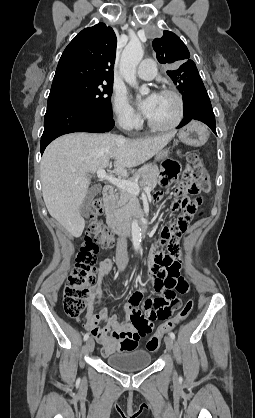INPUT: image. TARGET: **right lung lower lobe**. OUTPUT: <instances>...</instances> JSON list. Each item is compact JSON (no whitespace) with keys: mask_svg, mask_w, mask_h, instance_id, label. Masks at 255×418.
Returning a JSON list of instances; mask_svg holds the SVG:
<instances>
[{"mask_svg":"<svg viewBox=\"0 0 255 418\" xmlns=\"http://www.w3.org/2000/svg\"><path fill=\"white\" fill-rule=\"evenodd\" d=\"M114 127L113 119L102 117L92 110L72 103L47 105L40 151L55 138L73 132L104 133Z\"/></svg>","mask_w":255,"mask_h":418,"instance_id":"1","label":"right lung lower lobe"}]
</instances>
